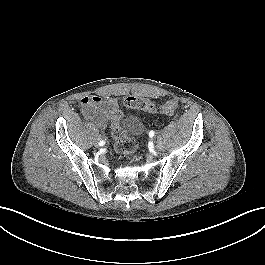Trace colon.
I'll return each mask as SVG.
<instances>
[{
	"mask_svg": "<svg viewBox=\"0 0 265 265\" xmlns=\"http://www.w3.org/2000/svg\"><path fill=\"white\" fill-rule=\"evenodd\" d=\"M122 105L127 108L162 114H173L179 108V102L176 99H171L162 105H156L148 99L134 96H129L123 99ZM115 115L119 118L122 116L120 111H116ZM111 133L114 139V147L117 152L127 157H131L135 154L137 143L124 132L120 125L113 123Z\"/></svg>",
	"mask_w": 265,
	"mask_h": 265,
	"instance_id": "1",
	"label": "colon"
}]
</instances>
